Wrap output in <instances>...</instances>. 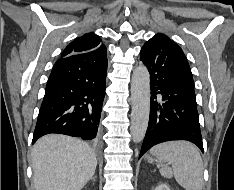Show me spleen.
Segmentation results:
<instances>
[{"instance_id": "obj_1", "label": "spleen", "mask_w": 234, "mask_h": 190, "mask_svg": "<svg viewBox=\"0 0 234 190\" xmlns=\"http://www.w3.org/2000/svg\"><path fill=\"white\" fill-rule=\"evenodd\" d=\"M150 153L172 168L160 169L163 177H174L185 190H202L203 161L196 146L188 141H170L154 146Z\"/></svg>"}]
</instances>
